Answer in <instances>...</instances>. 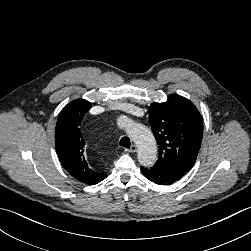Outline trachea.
<instances>
[{"label":"trachea","instance_id":"obj_1","mask_svg":"<svg viewBox=\"0 0 251 251\" xmlns=\"http://www.w3.org/2000/svg\"><path fill=\"white\" fill-rule=\"evenodd\" d=\"M131 142L128 137H122L120 140V146H123L125 148H130Z\"/></svg>","mask_w":251,"mask_h":251}]
</instances>
